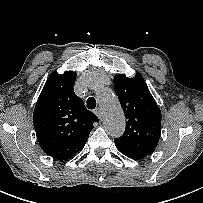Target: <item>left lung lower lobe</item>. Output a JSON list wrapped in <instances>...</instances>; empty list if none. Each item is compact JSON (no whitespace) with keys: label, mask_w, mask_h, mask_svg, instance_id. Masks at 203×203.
<instances>
[{"label":"left lung lower lobe","mask_w":203,"mask_h":203,"mask_svg":"<svg viewBox=\"0 0 203 203\" xmlns=\"http://www.w3.org/2000/svg\"><path fill=\"white\" fill-rule=\"evenodd\" d=\"M115 145H116L117 149H118L122 154L126 155L127 157H130V158H132V159H134V160H140V159H143V158H144L143 156L138 155V154H136V153H133L132 151H129V150H127V149H124V148L118 146L117 144H115Z\"/></svg>","instance_id":"1"}]
</instances>
